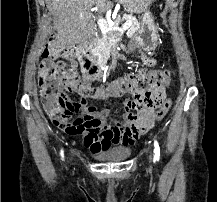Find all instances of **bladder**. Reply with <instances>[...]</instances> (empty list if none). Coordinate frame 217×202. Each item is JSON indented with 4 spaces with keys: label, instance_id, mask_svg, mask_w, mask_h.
Here are the masks:
<instances>
[{
    "label": "bladder",
    "instance_id": "1",
    "mask_svg": "<svg viewBox=\"0 0 217 202\" xmlns=\"http://www.w3.org/2000/svg\"><path fill=\"white\" fill-rule=\"evenodd\" d=\"M130 155L129 149H113L108 152H103L97 155V158H104V159H123Z\"/></svg>",
    "mask_w": 217,
    "mask_h": 202
}]
</instances>
